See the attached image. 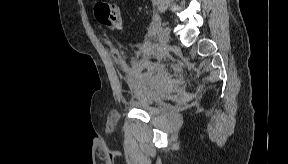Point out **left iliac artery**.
I'll return each instance as SVG.
<instances>
[{"label":"left iliac artery","instance_id":"left-iliac-artery-1","mask_svg":"<svg viewBox=\"0 0 288 164\" xmlns=\"http://www.w3.org/2000/svg\"><path fill=\"white\" fill-rule=\"evenodd\" d=\"M155 20H156V25H155L154 29L152 30V39L154 42L156 41V34H157L158 29L161 25L160 16L158 14L155 15Z\"/></svg>","mask_w":288,"mask_h":164}]
</instances>
